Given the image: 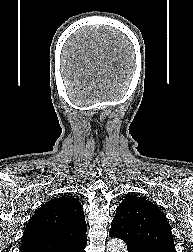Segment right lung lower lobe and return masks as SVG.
Listing matches in <instances>:
<instances>
[{
  "label": "right lung lower lobe",
  "mask_w": 193,
  "mask_h": 252,
  "mask_svg": "<svg viewBox=\"0 0 193 252\" xmlns=\"http://www.w3.org/2000/svg\"><path fill=\"white\" fill-rule=\"evenodd\" d=\"M86 244L87 243L77 247L75 250H72L71 252H85L84 248L86 247Z\"/></svg>",
  "instance_id": "right-lung-lower-lobe-1"
}]
</instances>
